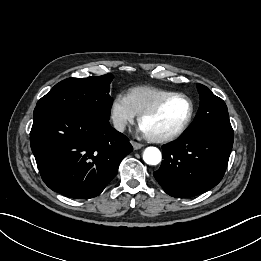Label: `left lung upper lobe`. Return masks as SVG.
Returning a JSON list of instances; mask_svg holds the SVG:
<instances>
[{
	"instance_id": "obj_1",
	"label": "left lung upper lobe",
	"mask_w": 261,
	"mask_h": 261,
	"mask_svg": "<svg viewBox=\"0 0 261 261\" xmlns=\"http://www.w3.org/2000/svg\"><path fill=\"white\" fill-rule=\"evenodd\" d=\"M197 87L200 94V107L194 121L184 134L231 127L225 102L206 86L198 84Z\"/></svg>"
}]
</instances>
